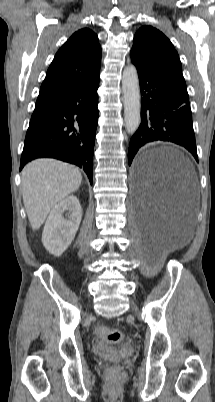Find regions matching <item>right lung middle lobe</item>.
Listing matches in <instances>:
<instances>
[{
  "label": "right lung middle lobe",
  "instance_id": "1",
  "mask_svg": "<svg viewBox=\"0 0 215 402\" xmlns=\"http://www.w3.org/2000/svg\"><path fill=\"white\" fill-rule=\"evenodd\" d=\"M48 105H49V104H36L32 116H34L35 114H37V113L43 111Z\"/></svg>",
  "mask_w": 215,
  "mask_h": 402
}]
</instances>
